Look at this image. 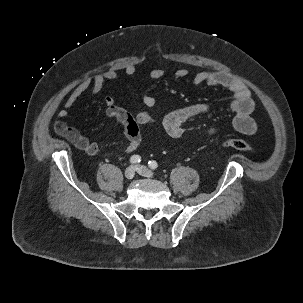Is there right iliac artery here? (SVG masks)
<instances>
[{
    "label": "right iliac artery",
    "mask_w": 303,
    "mask_h": 303,
    "mask_svg": "<svg viewBox=\"0 0 303 303\" xmlns=\"http://www.w3.org/2000/svg\"><path fill=\"white\" fill-rule=\"evenodd\" d=\"M140 161H141V157L139 155H133L130 158V163H132V164H138V163H140Z\"/></svg>",
    "instance_id": "right-iliac-artery-1"
}]
</instances>
